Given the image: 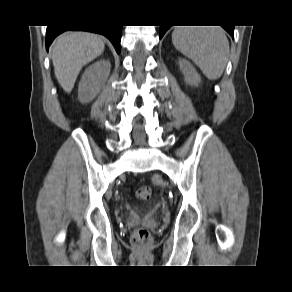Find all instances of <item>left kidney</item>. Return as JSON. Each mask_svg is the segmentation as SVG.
<instances>
[{
	"instance_id": "5707ae66",
	"label": "left kidney",
	"mask_w": 292,
	"mask_h": 292,
	"mask_svg": "<svg viewBox=\"0 0 292 292\" xmlns=\"http://www.w3.org/2000/svg\"><path fill=\"white\" fill-rule=\"evenodd\" d=\"M178 64L184 75L185 82L191 86H198L201 82V77L191 63L185 59H179Z\"/></svg>"
}]
</instances>
